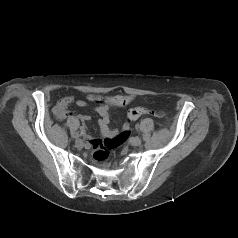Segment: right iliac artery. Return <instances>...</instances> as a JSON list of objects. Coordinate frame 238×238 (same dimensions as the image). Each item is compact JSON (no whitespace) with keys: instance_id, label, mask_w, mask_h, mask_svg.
Listing matches in <instances>:
<instances>
[{"instance_id":"1","label":"right iliac artery","mask_w":238,"mask_h":238,"mask_svg":"<svg viewBox=\"0 0 238 238\" xmlns=\"http://www.w3.org/2000/svg\"><path fill=\"white\" fill-rule=\"evenodd\" d=\"M79 136H80V134H76V136H75V137H76V138H78Z\"/></svg>"}]
</instances>
